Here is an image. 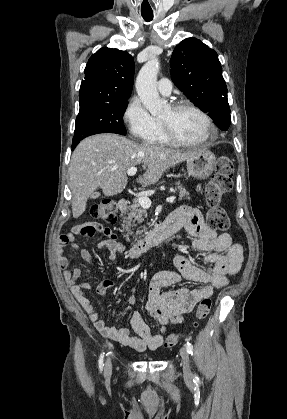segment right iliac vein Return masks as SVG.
I'll return each mask as SVG.
<instances>
[{
    "label": "right iliac vein",
    "instance_id": "1",
    "mask_svg": "<svg viewBox=\"0 0 287 419\" xmlns=\"http://www.w3.org/2000/svg\"><path fill=\"white\" fill-rule=\"evenodd\" d=\"M111 372H112V364H111V360L108 359L105 365V376H109Z\"/></svg>",
    "mask_w": 287,
    "mask_h": 419
}]
</instances>
